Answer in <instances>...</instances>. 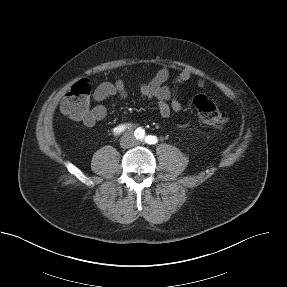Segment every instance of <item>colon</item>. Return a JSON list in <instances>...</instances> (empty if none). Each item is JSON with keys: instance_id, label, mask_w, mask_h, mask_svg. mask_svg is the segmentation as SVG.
<instances>
[{"instance_id": "colon-1", "label": "colon", "mask_w": 287, "mask_h": 287, "mask_svg": "<svg viewBox=\"0 0 287 287\" xmlns=\"http://www.w3.org/2000/svg\"><path fill=\"white\" fill-rule=\"evenodd\" d=\"M90 99L91 85L88 80H81L70 88L62 101L61 110L70 118L81 121L90 110ZM192 104L203 123L216 128H222L227 124V115L206 96H194Z\"/></svg>"}]
</instances>
